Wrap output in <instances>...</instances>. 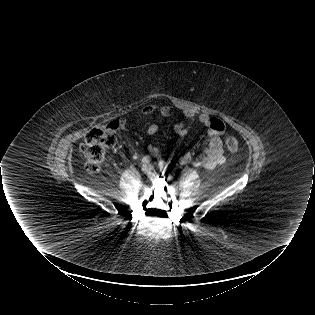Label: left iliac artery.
Here are the masks:
<instances>
[{"label":"left iliac artery","instance_id":"44dca946","mask_svg":"<svg viewBox=\"0 0 315 315\" xmlns=\"http://www.w3.org/2000/svg\"><path fill=\"white\" fill-rule=\"evenodd\" d=\"M165 166V168L167 167L166 165H165V162L164 161H160L159 162V167L160 168H163Z\"/></svg>","mask_w":315,"mask_h":315}]
</instances>
